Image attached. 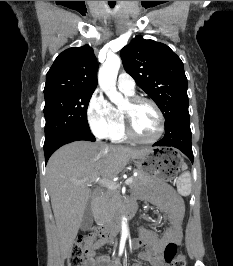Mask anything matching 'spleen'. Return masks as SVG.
<instances>
[{
    "instance_id": "1",
    "label": "spleen",
    "mask_w": 233,
    "mask_h": 266,
    "mask_svg": "<svg viewBox=\"0 0 233 266\" xmlns=\"http://www.w3.org/2000/svg\"><path fill=\"white\" fill-rule=\"evenodd\" d=\"M186 164L182 165V170H186ZM177 191L182 196H188L191 192V176L189 172H184L178 179Z\"/></svg>"
}]
</instances>
